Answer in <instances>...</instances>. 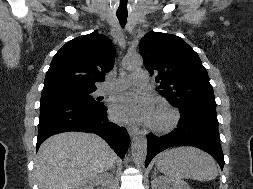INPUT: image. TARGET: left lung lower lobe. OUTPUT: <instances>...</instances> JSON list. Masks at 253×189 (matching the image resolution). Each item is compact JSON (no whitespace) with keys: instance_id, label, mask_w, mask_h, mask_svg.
<instances>
[{"instance_id":"left-lung-lower-lobe-1","label":"left lung lower lobe","mask_w":253,"mask_h":189,"mask_svg":"<svg viewBox=\"0 0 253 189\" xmlns=\"http://www.w3.org/2000/svg\"><path fill=\"white\" fill-rule=\"evenodd\" d=\"M146 167L161 151L178 145L198 147L208 152L220 165L224 166V155L220 145L218 120L200 113H181L177 129L164 137L148 135Z\"/></svg>"}]
</instances>
